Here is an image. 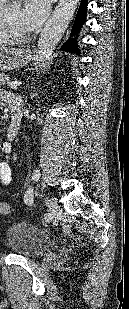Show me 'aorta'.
<instances>
[{"mask_svg": "<svg viewBox=\"0 0 129 309\" xmlns=\"http://www.w3.org/2000/svg\"><path fill=\"white\" fill-rule=\"evenodd\" d=\"M75 0H64L53 17L44 26L37 46L36 64L39 73H44L51 56L67 27Z\"/></svg>", "mask_w": 129, "mask_h": 309, "instance_id": "obj_1", "label": "aorta"}]
</instances>
